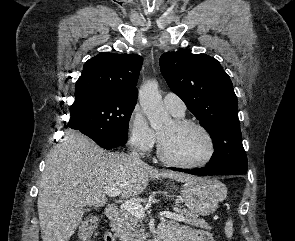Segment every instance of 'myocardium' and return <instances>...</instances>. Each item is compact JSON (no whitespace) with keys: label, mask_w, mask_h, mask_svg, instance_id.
Here are the masks:
<instances>
[{"label":"myocardium","mask_w":295,"mask_h":241,"mask_svg":"<svg viewBox=\"0 0 295 241\" xmlns=\"http://www.w3.org/2000/svg\"><path fill=\"white\" fill-rule=\"evenodd\" d=\"M173 122L175 126L178 128L193 127L198 129L205 136L208 142V146H209L208 154L201 161L194 162V163H184V162L177 161L166 154L164 142L161 136L159 135L158 150H157L159 159L166 164H169L178 168H182V169H198L208 165L214 159L216 155V151H217L216 142L214 140V137L210 133V131L204 125L193 120H185V119L177 118Z\"/></svg>","instance_id":"f54148a6"}]
</instances>
